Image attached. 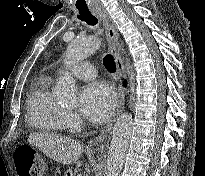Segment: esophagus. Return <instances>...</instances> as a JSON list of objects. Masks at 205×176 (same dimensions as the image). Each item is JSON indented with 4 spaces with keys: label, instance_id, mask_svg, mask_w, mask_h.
Wrapping results in <instances>:
<instances>
[{
    "label": "esophagus",
    "instance_id": "34e87169",
    "mask_svg": "<svg viewBox=\"0 0 205 176\" xmlns=\"http://www.w3.org/2000/svg\"><path fill=\"white\" fill-rule=\"evenodd\" d=\"M93 13L97 18L102 21L103 25L105 26L109 48L114 56L118 76V105L110 122L106 124L105 127L101 130V132L89 142L90 147L103 145L113 124L115 123L116 119L118 118L123 109V105L127 95V90L122 84V80L126 78V73L119 49L117 48V41L119 37L117 27L110 18L104 6H98L94 8Z\"/></svg>",
    "mask_w": 205,
    "mask_h": 176
}]
</instances>
